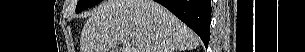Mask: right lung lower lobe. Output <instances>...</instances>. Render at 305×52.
<instances>
[{"mask_svg": "<svg viewBox=\"0 0 305 52\" xmlns=\"http://www.w3.org/2000/svg\"><path fill=\"white\" fill-rule=\"evenodd\" d=\"M193 31H195L205 46L210 39L211 0H155Z\"/></svg>", "mask_w": 305, "mask_h": 52, "instance_id": "obj_1", "label": "right lung lower lobe"}]
</instances>
